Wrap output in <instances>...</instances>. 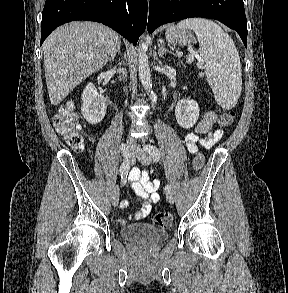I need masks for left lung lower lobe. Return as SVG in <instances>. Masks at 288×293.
Instances as JSON below:
<instances>
[{
  "label": "left lung lower lobe",
  "instance_id": "1",
  "mask_svg": "<svg viewBox=\"0 0 288 293\" xmlns=\"http://www.w3.org/2000/svg\"><path fill=\"white\" fill-rule=\"evenodd\" d=\"M191 17L216 19L237 31L247 47V20L243 0H150L148 31Z\"/></svg>",
  "mask_w": 288,
  "mask_h": 293
}]
</instances>
